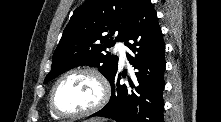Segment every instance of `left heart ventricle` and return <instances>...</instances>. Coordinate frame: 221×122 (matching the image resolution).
Wrapping results in <instances>:
<instances>
[{"label":"left heart ventricle","mask_w":221,"mask_h":122,"mask_svg":"<svg viewBox=\"0 0 221 122\" xmlns=\"http://www.w3.org/2000/svg\"><path fill=\"white\" fill-rule=\"evenodd\" d=\"M100 86L87 74L66 78L55 93L56 106L63 112L76 113L92 107L100 98Z\"/></svg>","instance_id":"left-heart-ventricle-1"}]
</instances>
